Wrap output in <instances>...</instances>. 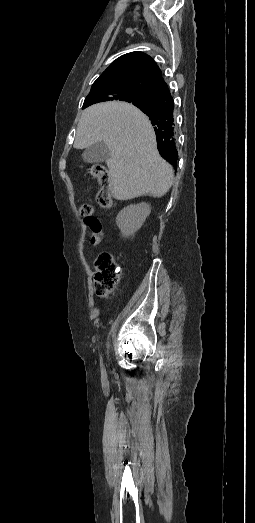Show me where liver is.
I'll list each match as a JSON object with an SVG mask.
<instances>
[{"label":"liver","instance_id":"6515ba94","mask_svg":"<svg viewBox=\"0 0 255 523\" xmlns=\"http://www.w3.org/2000/svg\"><path fill=\"white\" fill-rule=\"evenodd\" d=\"M96 142H105L110 150L106 164L116 200L145 194L161 198L170 190L173 168L157 150L149 118L132 104L104 102L83 110L74 148L83 150Z\"/></svg>","mask_w":255,"mask_h":523}]
</instances>
